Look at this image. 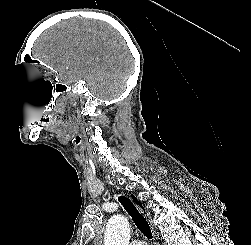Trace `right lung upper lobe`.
<instances>
[{
  "label": "right lung upper lobe",
  "mask_w": 251,
  "mask_h": 245,
  "mask_svg": "<svg viewBox=\"0 0 251 245\" xmlns=\"http://www.w3.org/2000/svg\"><path fill=\"white\" fill-rule=\"evenodd\" d=\"M131 197L133 198L134 202H136L139 206H142L141 203L136 199L134 195H131Z\"/></svg>",
  "instance_id": "1"
}]
</instances>
